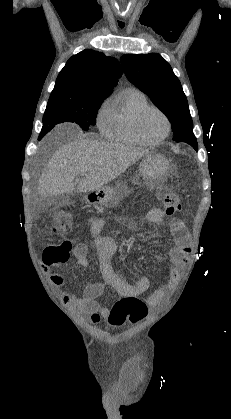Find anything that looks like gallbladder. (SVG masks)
Instances as JSON below:
<instances>
[{
	"instance_id": "obj_1",
	"label": "gallbladder",
	"mask_w": 231,
	"mask_h": 419,
	"mask_svg": "<svg viewBox=\"0 0 231 419\" xmlns=\"http://www.w3.org/2000/svg\"><path fill=\"white\" fill-rule=\"evenodd\" d=\"M70 202V198L69 195L66 194H62L58 197V200L56 201H52L53 204H58V205H66Z\"/></svg>"
}]
</instances>
